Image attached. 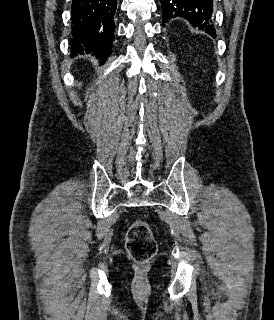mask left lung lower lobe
<instances>
[{"label":"left lung lower lobe","instance_id":"1","mask_svg":"<svg viewBox=\"0 0 274 320\" xmlns=\"http://www.w3.org/2000/svg\"><path fill=\"white\" fill-rule=\"evenodd\" d=\"M163 10V24L169 18L183 17L194 27H199L215 37L212 13L213 0H161Z\"/></svg>","mask_w":274,"mask_h":320}]
</instances>
